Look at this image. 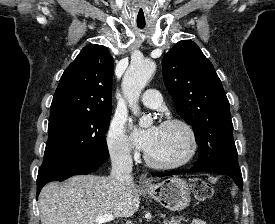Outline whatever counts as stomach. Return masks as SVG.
<instances>
[{"mask_svg":"<svg viewBox=\"0 0 275 224\" xmlns=\"http://www.w3.org/2000/svg\"><path fill=\"white\" fill-rule=\"evenodd\" d=\"M146 192L170 211H181L190 204V187L187 181L179 177L152 184Z\"/></svg>","mask_w":275,"mask_h":224,"instance_id":"stomach-1","label":"stomach"}]
</instances>
